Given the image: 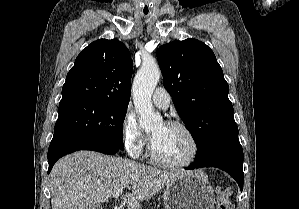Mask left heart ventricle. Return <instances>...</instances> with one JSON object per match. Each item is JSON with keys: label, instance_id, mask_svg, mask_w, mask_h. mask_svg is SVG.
I'll list each match as a JSON object with an SVG mask.
<instances>
[{"label": "left heart ventricle", "instance_id": "1", "mask_svg": "<svg viewBox=\"0 0 299 209\" xmlns=\"http://www.w3.org/2000/svg\"><path fill=\"white\" fill-rule=\"evenodd\" d=\"M150 138L155 154L161 160L183 162L191 155V140L180 129L161 123L150 131Z\"/></svg>", "mask_w": 299, "mask_h": 209}]
</instances>
